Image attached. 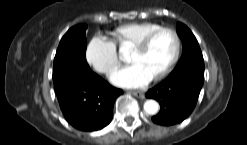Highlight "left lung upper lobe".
Instances as JSON below:
<instances>
[{
	"instance_id": "obj_1",
	"label": "left lung upper lobe",
	"mask_w": 247,
	"mask_h": 145,
	"mask_svg": "<svg viewBox=\"0 0 247 145\" xmlns=\"http://www.w3.org/2000/svg\"><path fill=\"white\" fill-rule=\"evenodd\" d=\"M177 33L183 43V54L178 64L192 60L203 61L199 44L191 30L186 25L177 23Z\"/></svg>"
}]
</instances>
